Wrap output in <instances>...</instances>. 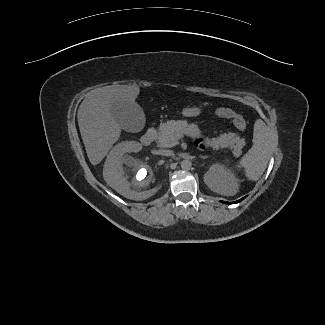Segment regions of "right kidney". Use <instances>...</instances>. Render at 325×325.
<instances>
[{
    "instance_id": "obj_1",
    "label": "right kidney",
    "mask_w": 325,
    "mask_h": 325,
    "mask_svg": "<svg viewBox=\"0 0 325 325\" xmlns=\"http://www.w3.org/2000/svg\"><path fill=\"white\" fill-rule=\"evenodd\" d=\"M140 149V144L133 141L117 144L107 156L103 169L104 180L111 188L124 197L137 201L151 197L160 188L156 174L148 162L130 155Z\"/></svg>"
}]
</instances>
